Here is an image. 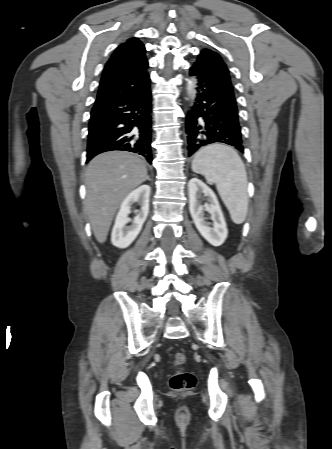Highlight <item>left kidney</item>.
Segmentation results:
<instances>
[{
	"instance_id": "left-kidney-1",
	"label": "left kidney",
	"mask_w": 332,
	"mask_h": 449,
	"mask_svg": "<svg viewBox=\"0 0 332 449\" xmlns=\"http://www.w3.org/2000/svg\"><path fill=\"white\" fill-rule=\"evenodd\" d=\"M189 210L199 233L213 246H220L227 238V225L215 193L198 178L188 183ZM204 195L207 203L201 205L199 199ZM204 210L211 214V223L205 221Z\"/></svg>"
}]
</instances>
